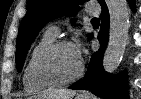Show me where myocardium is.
<instances>
[{"label":"myocardium","mask_w":141,"mask_h":99,"mask_svg":"<svg viewBox=\"0 0 141 99\" xmlns=\"http://www.w3.org/2000/svg\"><path fill=\"white\" fill-rule=\"evenodd\" d=\"M64 46H73V44L70 41L67 40H60V41H54L48 46H46L36 57L33 67H32V75L33 78L40 84L47 85L49 87H61L69 85L75 81H77L84 72V64L82 61H80V66L76 74H74L72 77L59 80L55 79L51 76H49L44 71V64L46 60L58 49Z\"/></svg>","instance_id":"myocardium-1"}]
</instances>
